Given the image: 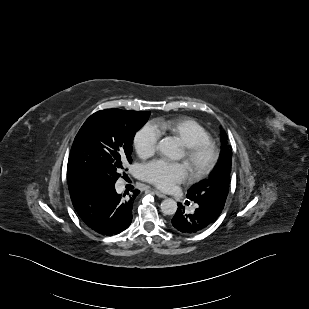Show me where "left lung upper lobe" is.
Returning a JSON list of instances; mask_svg holds the SVG:
<instances>
[{"instance_id":"obj_1","label":"left lung upper lobe","mask_w":309,"mask_h":309,"mask_svg":"<svg viewBox=\"0 0 309 309\" xmlns=\"http://www.w3.org/2000/svg\"><path fill=\"white\" fill-rule=\"evenodd\" d=\"M221 142L222 151L217 167L209 179L196 183L188 190L187 198L223 208L229 192L232 149L227 145V135L224 132Z\"/></svg>"}]
</instances>
